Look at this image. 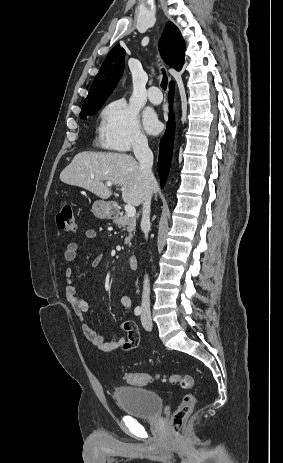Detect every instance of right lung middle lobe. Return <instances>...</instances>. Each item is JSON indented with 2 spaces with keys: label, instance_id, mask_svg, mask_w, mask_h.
<instances>
[{
  "label": "right lung middle lobe",
  "instance_id": "dd1d6c3e",
  "mask_svg": "<svg viewBox=\"0 0 283 463\" xmlns=\"http://www.w3.org/2000/svg\"><path fill=\"white\" fill-rule=\"evenodd\" d=\"M104 102L105 101L100 102V103H96V104H93V105L82 107L80 117L82 119H86L87 116L94 115L98 111V109L102 106V104Z\"/></svg>",
  "mask_w": 283,
  "mask_h": 463
}]
</instances>
